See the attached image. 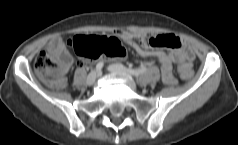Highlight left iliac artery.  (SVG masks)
<instances>
[{"mask_svg": "<svg viewBox=\"0 0 238 145\" xmlns=\"http://www.w3.org/2000/svg\"><path fill=\"white\" fill-rule=\"evenodd\" d=\"M127 70L129 71L130 74H132L134 76H139V75L145 73L147 71V68L146 67H141V68H136V69L129 68Z\"/></svg>", "mask_w": 238, "mask_h": 145, "instance_id": "obj_1", "label": "left iliac artery"}]
</instances>
